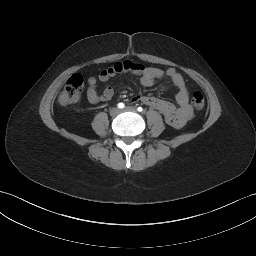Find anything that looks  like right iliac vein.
<instances>
[{"mask_svg": "<svg viewBox=\"0 0 256 256\" xmlns=\"http://www.w3.org/2000/svg\"><path fill=\"white\" fill-rule=\"evenodd\" d=\"M120 113V110L117 107H114L110 110L111 116H117Z\"/></svg>", "mask_w": 256, "mask_h": 256, "instance_id": "63e3f726", "label": "right iliac vein"}]
</instances>
